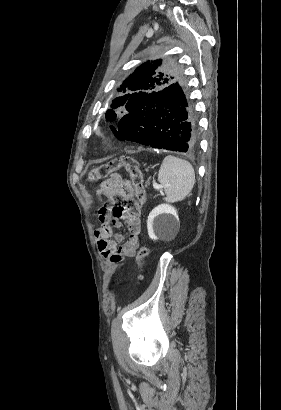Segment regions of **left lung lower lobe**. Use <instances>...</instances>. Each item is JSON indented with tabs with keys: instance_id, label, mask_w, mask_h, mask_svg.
Segmentation results:
<instances>
[{
	"instance_id": "0a47b994",
	"label": "left lung lower lobe",
	"mask_w": 281,
	"mask_h": 410,
	"mask_svg": "<svg viewBox=\"0 0 281 410\" xmlns=\"http://www.w3.org/2000/svg\"><path fill=\"white\" fill-rule=\"evenodd\" d=\"M113 132L120 140L179 152H193L199 143L197 120L182 81L156 92L141 111L123 116Z\"/></svg>"
}]
</instances>
